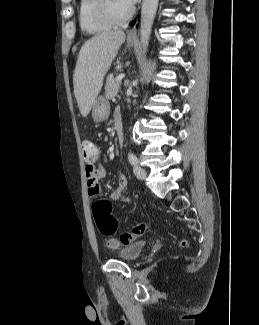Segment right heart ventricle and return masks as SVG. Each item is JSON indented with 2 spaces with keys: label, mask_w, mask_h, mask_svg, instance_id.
<instances>
[{
  "label": "right heart ventricle",
  "mask_w": 259,
  "mask_h": 325,
  "mask_svg": "<svg viewBox=\"0 0 259 325\" xmlns=\"http://www.w3.org/2000/svg\"><path fill=\"white\" fill-rule=\"evenodd\" d=\"M96 0H80L78 21L81 30L88 35H96L111 28V25L98 20L95 16Z\"/></svg>",
  "instance_id": "e07e8e85"
}]
</instances>
